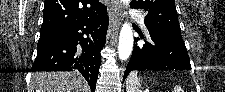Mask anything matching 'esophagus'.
I'll return each instance as SVG.
<instances>
[{
    "instance_id": "esophagus-1",
    "label": "esophagus",
    "mask_w": 225,
    "mask_h": 92,
    "mask_svg": "<svg viewBox=\"0 0 225 92\" xmlns=\"http://www.w3.org/2000/svg\"><path fill=\"white\" fill-rule=\"evenodd\" d=\"M109 12H110V24L107 38H109L110 36L118 35L119 26L122 18V8L119 0H111Z\"/></svg>"
}]
</instances>
